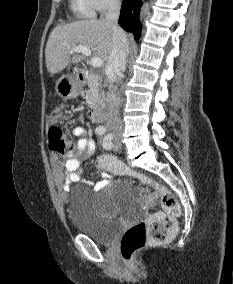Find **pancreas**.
Wrapping results in <instances>:
<instances>
[{"instance_id": "obj_1", "label": "pancreas", "mask_w": 233, "mask_h": 284, "mask_svg": "<svg viewBox=\"0 0 233 284\" xmlns=\"http://www.w3.org/2000/svg\"><path fill=\"white\" fill-rule=\"evenodd\" d=\"M89 89L86 91V102L91 107H97L102 105L105 95L103 91H100L97 78L95 75H90L87 80Z\"/></svg>"}]
</instances>
